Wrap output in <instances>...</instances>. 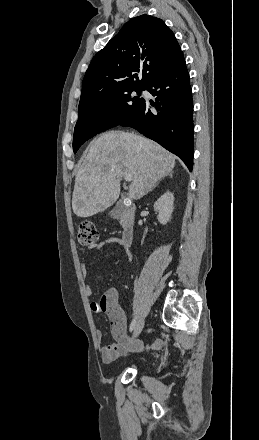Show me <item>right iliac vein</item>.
I'll use <instances>...</instances> for the list:
<instances>
[{"label":"right iliac vein","instance_id":"right-iliac-vein-1","mask_svg":"<svg viewBox=\"0 0 259 440\" xmlns=\"http://www.w3.org/2000/svg\"><path fill=\"white\" fill-rule=\"evenodd\" d=\"M143 327H144V319L140 318L138 320V322L136 323V325H135L134 333H133V338L138 337V335L141 333Z\"/></svg>","mask_w":259,"mask_h":440}]
</instances>
